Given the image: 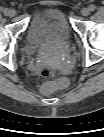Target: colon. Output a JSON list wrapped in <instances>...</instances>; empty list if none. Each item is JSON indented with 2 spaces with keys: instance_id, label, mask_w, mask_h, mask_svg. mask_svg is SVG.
Returning a JSON list of instances; mask_svg holds the SVG:
<instances>
[{
  "instance_id": "1",
  "label": "colon",
  "mask_w": 104,
  "mask_h": 137,
  "mask_svg": "<svg viewBox=\"0 0 104 137\" xmlns=\"http://www.w3.org/2000/svg\"><path fill=\"white\" fill-rule=\"evenodd\" d=\"M42 74L44 76H50L53 74V70L46 66L42 69ZM60 82H50V83H47L45 85L42 86L41 88V92L44 94V95H49L53 92H55L56 90H58L60 88Z\"/></svg>"
}]
</instances>
